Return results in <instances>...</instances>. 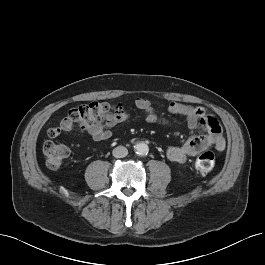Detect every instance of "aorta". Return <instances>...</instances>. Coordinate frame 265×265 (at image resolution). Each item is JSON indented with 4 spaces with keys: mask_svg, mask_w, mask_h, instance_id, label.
Returning <instances> with one entry per match:
<instances>
[{
    "mask_svg": "<svg viewBox=\"0 0 265 265\" xmlns=\"http://www.w3.org/2000/svg\"><path fill=\"white\" fill-rule=\"evenodd\" d=\"M134 148L138 155H147L149 151L148 145L144 142L137 143Z\"/></svg>",
    "mask_w": 265,
    "mask_h": 265,
    "instance_id": "1",
    "label": "aorta"
}]
</instances>
